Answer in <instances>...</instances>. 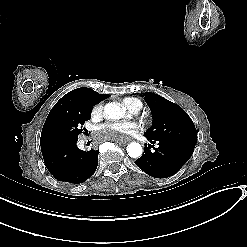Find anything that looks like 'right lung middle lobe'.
I'll return each mask as SVG.
<instances>
[{
  "label": "right lung middle lobe",
  "mask_w": 247,
  "mask_h": 247,
  "mask_svg": "<svg viewBox=\"0 0 247 247\" xmlns=\"http://www.w3.org/2000/svg\"><path fill=\"white\" fill-rule=\"evenodd\" d=\"M91 117V110L76 108L57 115L41 134V149L76 142L78 135L85 131L82 125Z\"/></svg>",
  "instance_id": "dd1d6c3e"
}]
</instances>
